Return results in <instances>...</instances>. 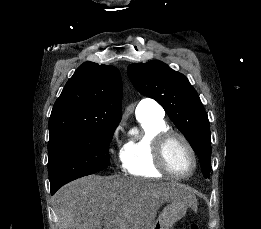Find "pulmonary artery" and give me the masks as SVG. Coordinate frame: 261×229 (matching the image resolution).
Instances as JSON below:
<instances>
[{"instance_id": "obj_1", "label": "pulmonary artery", "mask_w": 261, "mask_h": 229, "mask_svg": "<svg viewBox=\"0 0 261 229\" xmlns=\"http://www.w3.org/2000/svg\"><path fill=\"white\" fill-rule=\"evenodd\" d=\"M139 113H151L154 116H164V109L160 104L150 98L141 99L136 107V117H144L145 114H137Z\"/></svg>"}]
</instances>
